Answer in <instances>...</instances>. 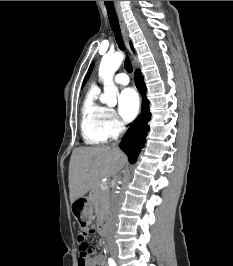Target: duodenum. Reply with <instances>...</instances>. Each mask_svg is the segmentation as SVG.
<instances>
[{"label": "duodenum", "mask_w": 233, "mask_h": 266, "mask_svg": "<svg viewBox=\"0 0 233 266\" xmlns=\"http://www.w3.org/2000/svg\"><path fill=\"white\" fill-rule=\"evenodd\" d=\"M98 230L103 236L107 235V229H106V226L102 220H100L98 223Z\"/></svg>", "instance_id": "duodenum-1"}]
</instances>
